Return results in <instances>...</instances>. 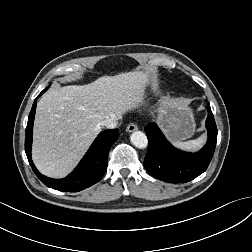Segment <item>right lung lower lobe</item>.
Listing matches in <instances>:
<instances>
[{
  "instance_id": "obj_1",
  "label": "right lung lower lobe",
  "mask_w": 252,
  "mask_h": 252,
  "mask_svg": "<svg viewBox=\"0 0 252 252\" xmlns=\"http://www.w3.org/2000/svg\"><path fill=\"white\" fill-rule=\"evenodd\" d=\"M46 91L43 90L39 95ZM37 97V98H38ZM37 99L28 117L25 132V152L36 176L48 187L59 191L78 192L99 182L107 170L108 152L119 137L118 129L101 132L75 170L64 179H52L42 175L31 159L32 131Z\"/></svg>"
}]
</instances>
